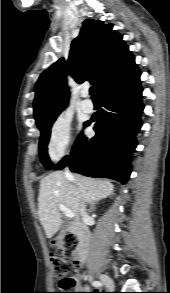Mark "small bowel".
<instances>
[{"mask_svg": "<svg viewBox=\"0 0 170 293\" xmlns=\"http://www.w3.org/2000/svg\"><path fill=\"white\" fill-rule=\"evenodd\" d=\"M75 289H82V288H84L80 283H78L75 287H74Z\"/></svg>", "mask_w": 170, "mask_h": 293, "instance_id": "c3829d8e", "label": "small bowel"}]
</instances>
